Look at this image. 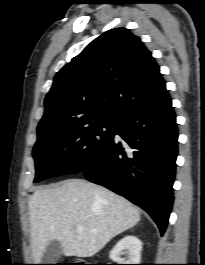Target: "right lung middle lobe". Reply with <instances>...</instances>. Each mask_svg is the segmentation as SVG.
Segmentation results:
<instances>
[{
  "instance_id": "obj_1",
  "label": "right lung middle lobe",
  "mask_w": 205,
  "mask_h": 265,
  "mask_svg": "<svg viewBox=\"0 0 205 265\" xmlns=\"http://www.w3.org/2000/svg\"><path fill=\"white\" fill-rule=\"evenodd\" d=\"M115 127V122L96 121L61 131H37L34 182L82 171L113 138Z\"/></svg>"
}]
</instances>
